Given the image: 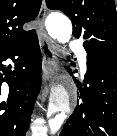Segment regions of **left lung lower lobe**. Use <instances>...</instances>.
I'll use <instances>...</instances> for the list:
<instances>
[{"mask_svg":"<svg viewBox=\"0 0 117 136\" xmlns=\"http://www.w3.org/2000/svg\"><path fill=\"white\" fill-rule=\"evenodd\" d=\"M83 86L60 136H117V59L87 56Z\"/></svg>","mask_w":117,"mask_h":136,"instance_id":"0a47b994","label":"left lung lower lobe"}]
</instances>
